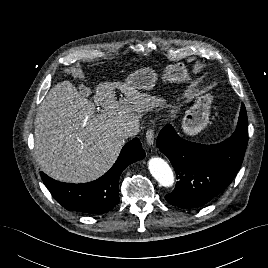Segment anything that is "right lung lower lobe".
<instances>
[{"instance_id": "right-lung-lower-lobe-1", "label": "right lung lower lobe", "mask_w": 268, "mask_h": 268, "mask_svg": "<svg viewBox=\"0 0 268 268\" xmlns=\"http://www.w3.org/2000/svg\"><path fill=\"white\" fill-rule=\"evenodd\" d=\"M145 157L138 138L132 139L121 150L112 166L103 176L89 183L70 184L56 181L40 172L41 178L56 201L69 211L103 214L119 202L118 181L128 165Z\"/></svg>"}]
</instances>
